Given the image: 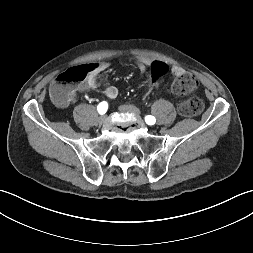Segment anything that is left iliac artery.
I'll list each match as a JSON object with an SVG mask.
<instances>
[{
  "label": "left iliac artery",
  "mask_w": 253,
  "mask_h": 253,
  "mask_svg": "<svg viewBox=\"0 0 253 253\" xmlns=\"http://www.w3.org/2000/svg\"><path fill=\"white\" fill-rule=\"evenodd\" d=\"M145 122L148 125H153L156 122V119H155V117H153L151 115H147V116H145Z\"/></svg>",
  "instance_id": "left-iliac-artery-1"
}]
</instances>
